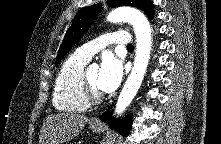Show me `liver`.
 <instances>
[{
  "label": "liver",
  "instance_id": "liver-1",
  "mask_svg": "<svg viewBox=\"0 0 221 144\" xmlns=\"http://www.w3.org/2000/svg\"><path fill=\"white\" fill-rule=\"evenodd\" d=\"M89 121L78 113H58L46 117L39 144H63L76 137Z\"/></svg>",
  "mask_w": 221,
  "mask_h": 144
}]
</instances>
